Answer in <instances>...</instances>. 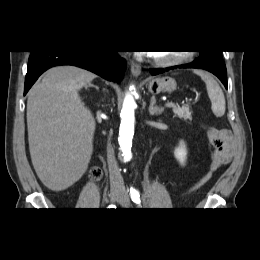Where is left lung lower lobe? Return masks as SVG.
<instances>
[{
    "mask_svg": "<svg viewBox=\"0 0 260 260\" xmlns=\"http://www.w3.org/2000/svg\"><path fill=\"white\" fill-rule=\"evenodd\" d=\"M175 68H196L207 70L214 75H216L224 86L227 88V75H226V66L224 60L219 53V51H204L200 56L193 62L188 64H182L178 66L168 67L166 71ZM163 69H150L152 75H158L163 73Z\"/></svg>",
    "mask_w": 260,
    "mask_h": 260,
    "instance_id": "obj_1",
    "label": "left lung lower lobe"
}]
</instances>
